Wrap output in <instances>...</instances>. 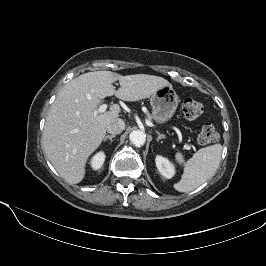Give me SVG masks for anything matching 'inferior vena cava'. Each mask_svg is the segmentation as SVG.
<instances>
[{"label": "inferior vena cava", "instance_id": "inferior-vena-cava-1", "mask_svg": "<svg viewBox=\"0 0 266 266\" xmlns=\"http://www.w3.org/2000/svg\"><path fill=\"white\" fill-rule=\"evenodd\" d=\"M125 128V123L120 118H114L107 123L106 130L110 134H120Z\"/></svg>", "mask_w": 266, "mask_h": 266}]
</instances>
